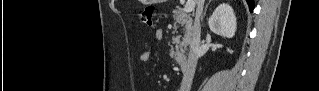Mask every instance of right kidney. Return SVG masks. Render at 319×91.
Wrapping results in <instances>:
<instances>
[{
    "label": "right kidney",
    "mask_w": 319,
    "mask_h": 91,
    "mask_svg": "<svg viewBox=\"0 0 319 91\" xmlns=\"http://www.w3.org/2000/svg\"><path fill=\"white\" fill-rule=\"evenodd\" d=\"M210 30L220 36L232 38L236 32V17L228 4H220L208 20Z\"/></svg>",
    "instance_id": "obj_1"
}]
</instances>
